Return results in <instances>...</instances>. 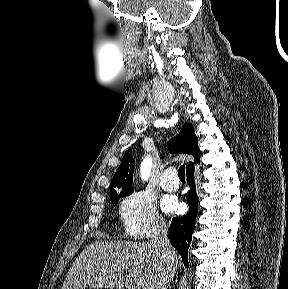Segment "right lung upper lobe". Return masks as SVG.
Instances as JSON below:
<instances>
[{
  "mask_svg": "<svg viewBox=\"0 0 288 289\" xmlns=\"http://www.w3.org/2000/svg\"><path fill=\"white\" fill-rule=\"evenodd\" d=\"M198 138L195 135L194 128L191 124H185L179 135L168 142V149L170 153H186L194 156L195 161L200 159V150L197 146ZM134 159L132 155L127 151L119 168L117 169L112 181L111 191H127L132 190V179L134 171ZM193 166V163H189L187 170Z\"/></svg>",
  "mask_w": 288,
  "mask_h": 289,
  "instance_id": "right-lung-upper-lobe-1",
  "label": "right lung upper lobe"
}]
</instances>
